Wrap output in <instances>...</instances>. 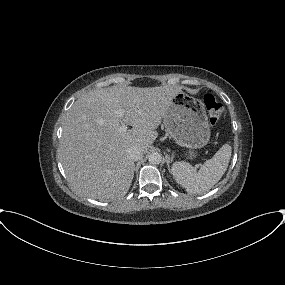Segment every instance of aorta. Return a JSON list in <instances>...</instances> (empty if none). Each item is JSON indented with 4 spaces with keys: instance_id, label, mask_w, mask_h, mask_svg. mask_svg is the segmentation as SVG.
<instances>
[{
    "instance_id": "1",
    "label": "aorta",
    "mask_w": 285,
    "mask_h": 285,
    "mask_svg": "<svg viewBox=\"0 0 285 285\" xmlns=\"http://www.w3.org/2000/svg\"><path fill=\"white\" fill-rule=\"evenodd\" d=\"M149 162L153 165L156 164H160L162 161V156L160 153L158 152H152L149 156H148Z\"/></svg>"
}]
</instances>
